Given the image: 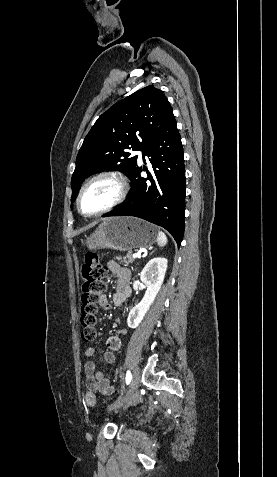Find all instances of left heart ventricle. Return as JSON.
Instances as JSON below:
<instances>
[{
    "label": "left heart ventricle",
    "instance_id": "b2bd125f",
    "mask_svg": "<svg viewBox=\"0 0 277 477\" xmlns=\"http://www.w3.org/2000/svg\"><path fill=\"white\" fill-rule=\"evenodd\" d=\"M117 192V184L111 179H100L92 183L82 196V211L90 214L104 208L113 201Z\"/></svg>",
    "mask_w": 277,
    "mask_h": 477
}]
</instances>
